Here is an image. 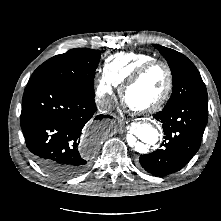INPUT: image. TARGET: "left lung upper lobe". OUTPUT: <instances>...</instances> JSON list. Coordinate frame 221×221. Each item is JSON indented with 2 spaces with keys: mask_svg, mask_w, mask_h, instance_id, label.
Returning a JSON list of instances; mask_svg holds the SVG:
<instances>
[{
  "mask_svg": "<svg viewBox=\"0 0 221 221\" xmlns=\"http://www.w3.org/2000/svg\"><path fill=\"white\" fill-rule=\"evenodd\" d=\"M153 46L167 60L172 72V95L165 106L178 104L192 97H207V90L199 71L185 55L158 44Z\"/></svg>",
  "mask_w": 221,
  "mask_h": 221,
  "instance_id": "left-lung-upper-lobe-1",
  "label": "left lung upper lobe"
}]
</instances>
